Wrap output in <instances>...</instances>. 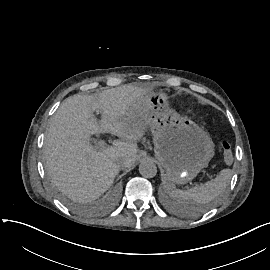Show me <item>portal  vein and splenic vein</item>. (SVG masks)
Segmentation results:
<instances>
[{
	"instance_id": "18ae733b",
	"label": "portal vein and splenic vein",
	"mask_w": 270,
	"mask_h": 270,
	"mask_svg": "<svg viewBox=\"0 0 270 270\" xmlns=\"http://www.w3.org/2000/svg\"><path fill=\"white\" fill-rule=\"evenodd\" d=\"M103 128L105 129H108V128H112V124H110V123H107V122H103ZM99 142L100 143H98L97 144V146H95L94 148H93V151L95 152V153H102V152H104L105 150H106V143L104 142V141H102V139H99ZM205 175V174H204ZM207 178H209L208 176H207ZM211 178V177H210ZM212 180H213V178H211ZM208 181V180H207Z\"/></svg>"
}]
</instances>
